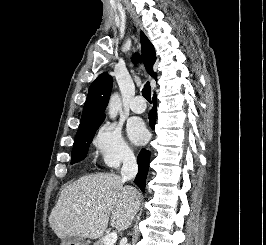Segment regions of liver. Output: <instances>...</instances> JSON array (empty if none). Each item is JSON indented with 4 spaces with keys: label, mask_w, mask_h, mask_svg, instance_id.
<instances>
[{
    "label": "liver",
    "mask_w": 266,
    "mask_h": 245,
    "mask_svg": "<svg viewBox=\"0 0 266 245\" xmlns=\"http://www.w3.org/2000/svg\"><path fill=\"white\" fill-rule=\"evenodd\" d=\"M140 199L139 191L124 187V181L114 173L86 175L62 189L49 215V225L59 239H99L109 219L113 229H129Z\"/></svg>",
    "instance_id": "liver-1"
}]
</instances>
